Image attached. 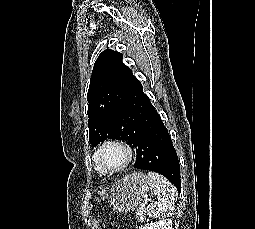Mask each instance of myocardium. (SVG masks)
Listing matches in <instances>:
<instances>
[{
    "mask_svg": "<svg viewBox=\"0 0 255 229\" xmlns=\"http://www.w3.org/2000/svg\"><path fill=\"white\" fill-rule=\"evenodd\" d=\"M111 146L119 147L125 153L124 161L120 165L114 166V167L106 166L102 162V158H101L102 152L107 147H111ZM133 156H134L133 149L129 143H127L126 141H124L122 139L110 138V139L103 141L95 150L94 163H95L96 167H100L103 170V172L114 173V172H119V171L125 169L132 162Z\"/></svg>",
    "mask_w": 255,
    "mask_h": 229,
    "instance_id": "1",
    "label": "myocardium"
}]
</instances>
